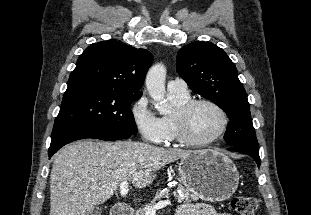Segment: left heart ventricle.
Here are the masks:
<instances>
[{"label":"left heart ventricle","instance_id":"obj_1","mask_svg":"<svg viewBox=\"0 0 311 215\" xmlns=\"http://www.w3.org/2000/svg\"><path fill=\"white\" fill-rule=\"evenodd\" d=\"M221 124V115L215 108L205 104L198 105L189 116V134L195 140H206L220 129Z\"/></svg>","mask_w":311,"mask_h":215}]
</instances>
